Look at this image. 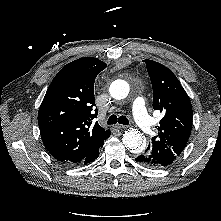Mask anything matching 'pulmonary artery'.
Here are the masks:
<instances>
[{"label": "pulmonary artery", "instance_id": "obj_1", "mask_svg": "<svg viewBox=\"0 0 221 221\" xmlns=\"http://www.w3.org/2000/svg\"><path fill=\"white\" fill-rule=\"evenodd\" d=\"M132 110L134 119L141 130L145 133H150L152 122L149 115L147 114L145 102L142 97H138L135 99V101L133 102Z\"/></svg>", "mask_w": 221, "mask_h": 221}]
</instances>
